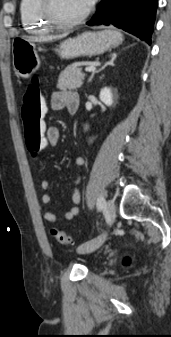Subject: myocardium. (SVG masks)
I'll return each instance as SVG.
<instances>
[{"label":"myocardium","mask_w":171,"mask_h":337,"mask_svg":"<svg viewBox=\"0 0 171 337\" xmlns=\"http://www.w3.org/2000/svg\"><path fill=\"white\" fill-rule=\"evenodd\" d=\"M40 8L43 18L52 26L58 28L73 27L83 22L90 14L88 7L82 14L72 19H62L57 16L54 9V0H40Z\"/></svg>","instance_id":"f54148a6"}]
</instances>
